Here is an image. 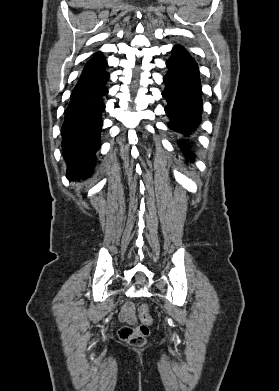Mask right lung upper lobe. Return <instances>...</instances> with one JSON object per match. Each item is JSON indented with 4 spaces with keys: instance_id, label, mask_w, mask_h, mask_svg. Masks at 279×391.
I'll list each match as a JSON object with an SVG mask.
<instances>
[{
    "instance_id": "obj_1",
    "label": "right lung upper lobe",
    "mask_w": 279,
    "mask_h": 391,
    "mask_svg": "<svg viewBox=\"0 0 279 391\" xmlns=\"http://www.w3.org/2000/svg\"><path fill=\"white\" fill-rule=\"evenodd\" d=\"M107 63L101 52H97L94 57L85 65L80 78H85L100 72L105 71Z\"/></svg>"
}]
</instances>
